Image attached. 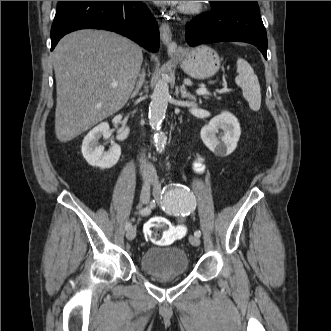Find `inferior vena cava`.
<instances>
[{"instance_id": "602c4592", "label": "inferior vena cava", "mask_w": 331, "mask_h": 331, "mask_svg": "<svg viewBox=\"0 0 331 331\" xmlns=\"http://www.w3.org/2000/svg\"><path fill=\"white\" fill-rule=\"evenodd\" d=\"M140 169L144 179L146 180H156V174L150 164L146 161L145 154L141 155L140 158Z\"/></svg>"}]
</instances>
